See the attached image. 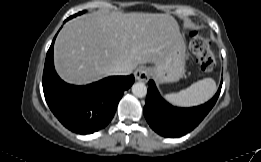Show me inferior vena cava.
<instances>
[{"mask_svg":"<svg viewBox=\"0 0 261 162\" xmlns=\"http://www.w3.org/2000/svg\"><path fill=\"white\" fill-rule=\"evenodd\" d=\"M132 71V68L123 65H117L112 69L114 75H129Z\"/></svg>","mask_w":261,"mask_h":162,"instance_id":"inferior-vena-cava-1","label":"inferior vena cava"}]
</instances>
